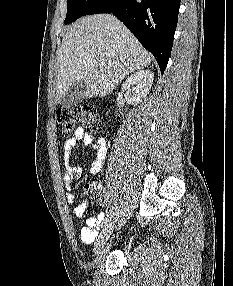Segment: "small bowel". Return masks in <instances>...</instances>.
<instances>
[{
    "instance_id": "small-bowel-1",
    "label": "small bowel",
    "mask_w": 233,
    "mask_h": 286,
    "mask_svg": "<svg viewBox=\"0 0 233 286\" xmlns=\"http://www.w3.org/2000/svg\"><path fill=\"white\" fill-rule=\"evenodd\" d=\"M79 142H82L86 146H91L96 152V158L91 164L90 172L95 175L98 174L104 165L107 157V144L102 137H95L90 133L86 132L82 127H78L74 130L73 136L69 138L64 144V159L66 169L64 172V183L67 190H71L73 181L79 179L82 176L83 169L81 166L72 165L69 163L70 155L73 149ZM95 198L98 202H104V195L99 188H95ZM76 199L74 193L69 192L67 194L68 202L72 203ZM89 204L87 201H82L74 209V216L77 220H80L84 213L88 210ZM104 219V213H98L97 215L90 216L86 220V226L81 229L80 236L84 243L90 244L94 241L97 230L102 224Z\"/></svg>"
}]
</instances>
